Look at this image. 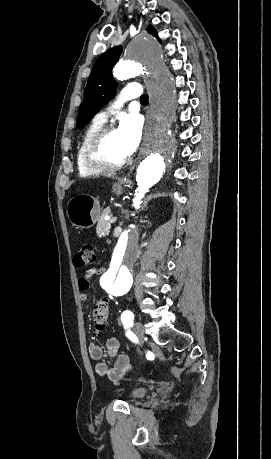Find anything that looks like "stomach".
<instances>
[{"instance_id":"obj_1","label":"stomach","mask_w":271,"mask_h":459,"mask_svg":"<svg viewBox=\"0 0 271 459\" xmlns=\"http://www.w3.org/2000/svg\"><path fill=\"white\" fill-rule=\"evenodd\" d=\"M124 190V186H113L112 192L120 196ZM67 216L76 228L87 229L92 228L99 220L100 206L92 196H76L67 204Z\"/></svg>"}]
</instances>
